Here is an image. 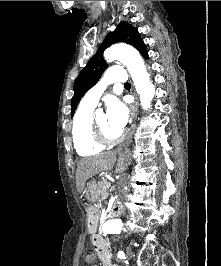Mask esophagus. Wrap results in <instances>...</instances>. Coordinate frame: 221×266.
Listing matches in <instances>:
<instances>
[{"label": "esophagus", "instance_id": "obj_1", "mask_svg": "<svg viewBox=\"0 0 221 266\" xmlns=\"http://www.w3.org/2000/svg\"><path fill=\"white\" fill-rule=\"evenodd\" d=\"M131 93L133 94L134 96V102L133 104L131 105V122L134 120V118L136 117V114H137V105H138V98H137V95L135 93V89L132 85V88H131ZM134 130H135V123L133 122L131 124V127H130V132L124 142V146H128L131 141H132V137H133V133H134Z\"/></svg>", "mask_w": 221, "mask_h": 266}]
</instances>
